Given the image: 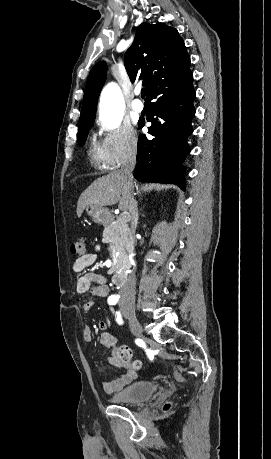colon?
I'll list each match as a JSON object with an SVG mask.
<instances>
[{"mask_svg": "<svg viewBox=\"0 0 271 459\" xmlns=\"http://www.w3.org/2000/svg\"><path fill=\"white\" fill-rule=\"evenodd\" d=\"M86 241L83 236L76 238L71 244V253L74 255L82 256L85 253ZM117 357L125 364H130L134 369L139 370L142 367V363L139 360L132 361L131 349L127 346H120L116 350ZM170 408V404H166L164 409L167 411Z\"/></svg>", "mask_w": 271, "mask_h": 459, "instance_id": "5ec220e1", "label": "colon"}]
</instances>
